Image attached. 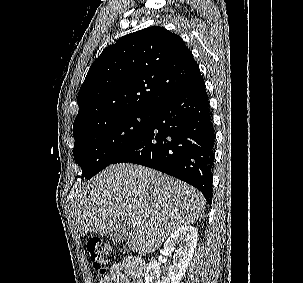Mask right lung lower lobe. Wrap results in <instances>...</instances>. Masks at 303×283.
Returning a JSON list of instances; mask_svg holds the SVG:
<instances>
[{
  "instance_id": "right-lung-lower-lobe-1",
  "label": "right lung lower lobe",
  "mask_w": 303,
  "mask_h": 283,
  "mask_svg": "<svg viewBox=\"0 0 303 283\" xmlns=\"http://www.w3.org/2000/svg\"><path fill=\"white\" fill-rule=\"evenodd\" d=\"M215 135L204 79L151 111L144 134L113 164L147 166L189 183L212 201Z\"/></svg>"
}]
</instances>
